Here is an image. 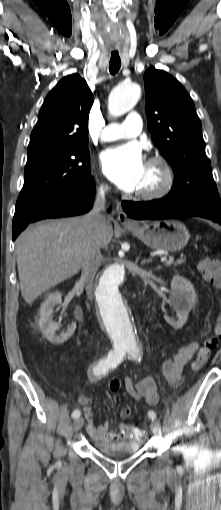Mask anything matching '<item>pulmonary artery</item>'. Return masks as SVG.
Segmentation results:
<instances>
[{"instance_id": "e3ab8cb5", "label": "pulmonary artery", "mask_w": 221, "mask_h": 510, "mask_svg": "<svg viewBox=\"0 0 221 510\" xmlns=\"http://www.w3.org/2000/svg\"><path fill=\"white\" fill-rule=\"evenodd\" d=\"M142 130V121L138 113L132 112L123 123H113L104 128L102 140L105 142L136 137Z\"/></svg>"}]
</instances>
